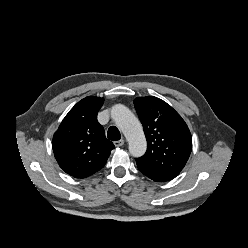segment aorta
Here are the masks:
<instances>
[{
    "mask_svg": "<svg viewBox=\"0 0 248 248\" xmlns=\"http://www.w3.org/2000/svg\"><path fill=\"white\" fill-rule=\"evenodd\" d=\"M111 117L126 137L129 153L133 157H141L146 151L147 142L139 120L122 104H116L112 107Z\"/></svg>",
    "mask_w": 248,
    "mask_h": 248,
    "instance_id": "obj_1",
    "label": "aorta"
}]
</instances>
